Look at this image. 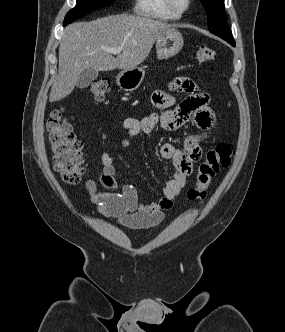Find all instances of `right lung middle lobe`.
Instances as JSON below:
<instances>
[{
	"mask_svg": "<svg viewBox=\"0 0 285 332\" xmlns=\"http://www.w3.org/2000/svg\"><path fill=\"white\" fill-rule=\"evenodd\" d=\"M115 0H77L75 8L70 10L65 16L63 25L81 18L92 11L111 5Z\"/></svg>",
	"mask_w": 285,
	"mask_h": 332,
	"instance_id": "right-lung-middle-lobe-1",
	"label": "right lung middle lobe"
}]
</instances>
